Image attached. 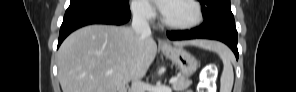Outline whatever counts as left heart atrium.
Segmentation results:
<instances>
[{
    "label": "left heart atrium",
    "mask_w": 296,
    "mask_h": 92,
    "mask_svg": "<svg viewBox=\"0 0 296 92\" xmlns=\"http://www.w3.org/2000/svg\"><path fill=\"white\" fill-rule=\"evenodd\" d=\"M156 4L158 5V8L160 9V11L165 14L168 8V3L167 1H155Z\"/></svg>",
    "instance_id": "obj_1"
}]
</instances>
